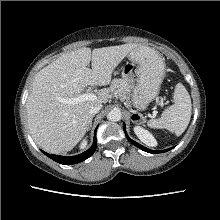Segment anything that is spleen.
Here are the masks:
<instances>
[{
  "mask_svg": "<svg viewBox=\"0 0 220 220\" xmlns=\"http://www.w3.org/2000/svg\"><path fill=\"white\" fill-rule=\"evenodd\" d=\"M174 104L165 109L158 119L149 120L147 125L154 129H167L180 136L187 128L192 112V104L188 91L178 83L174 90Z\"/></svg>",
  "mask_w": 220,
  "mask_h": 220,
  "instance_id": "spleen-1",
  "label": "spleen"
}]
</instances>
